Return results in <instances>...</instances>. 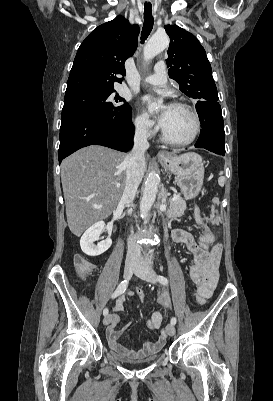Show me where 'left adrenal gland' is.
<instances>
[{
    "label": "left adrenal gland",
    "instance_id": "left-adrenal-gland-1",
    "mask_svg": "<svg viewBox=\"0 0 273 401\" xmlns=\"http://www.w3.org/2000/svg\"><path fill=\"white\" fill-rule=\"evenodd\" d=\"M161 198H162V203H164V205H166V201L165 198L167 196V188H163L161 194H160Z\"/></svg>",
    "mask_w": 273,
    "mask_h": 401
}]
</instances>
